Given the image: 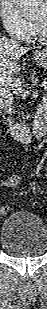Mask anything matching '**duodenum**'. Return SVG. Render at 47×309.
Returning <instances> with one entry per match:
<instances>
[{"label":"duodenum","instance_id":"obj_1","mask_svg":"<svg viewBox=\"0 0 47 309\" xmlns=\"http://www.w3.org/2000/svg\"><path fill=\"white\" fill-rule=\"evenodd\" d=\"M45 123V115L43 113H39L36 117L34 130L31 132L29 128L15 122L10 117L8 118V124L12 134L22 142H28L32 137V133H34L37 137H40L44 132Z\"/></svg>","mask_w":47,"mask_h":309}]
</instances>
